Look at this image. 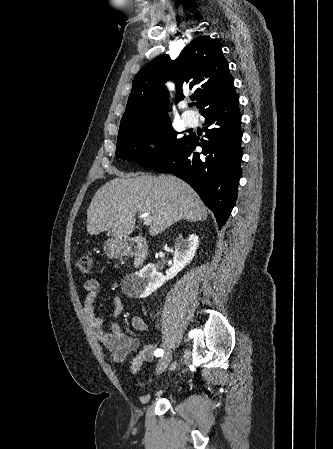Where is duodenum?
I'll use <instances>...</instances> for the list:
<instances>
[{
    "mask_svg": "<svg viewBox=\"0 0 333 449\" xmlns=\"http://www.w3.org/2000/svg\"><path fill=\"white\" fill-rule=\"evenodd\" d=\"M116 256H130L134 267H140L148 255V245L145 240L137 238H122L114 245Z\"/></svg>",
    "mask_w": 333,
    "mask_h": 449,
    "instance_id": "410a0bca",
    "label": "duodenum"
}]
</instances>
